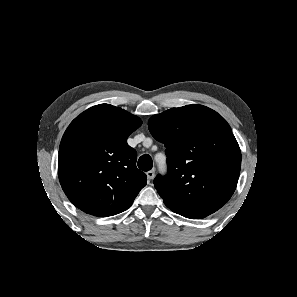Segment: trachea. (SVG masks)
Listing matches in <instances>:
<instances>
[{"label":"trachea","instance_id":"trachea-1","mask_svg":"<svg viewBox=\"0 0 297 297\" xmlns=\"http://www.w3.org/2000/svg\"><path fill=\"white\" fill-rule=\"evenodd\" d=\"M137 165L141 170L149 171L152 169V166H153L152 158L147 154L142 155L139 158Z\"/></svg>","mask_w":297,"mask_h":297}]
</instances>
